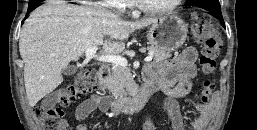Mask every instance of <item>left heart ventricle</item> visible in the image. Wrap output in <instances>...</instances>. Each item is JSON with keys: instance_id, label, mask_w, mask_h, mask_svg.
<instances>
[{"instance_id": "b2bd125f", "label": "left heart ventricle", "mask_w": 257, "mask_h": 130, "mask_svg": "<svg viewBox=\"0 0 257 130\" xmlns=\"http://www.w3.org/2000/svg\"><path fill=\"white\" fill-rule=\"evenodd\" d=\"M147 6L152 8H162L170 5L174 0H142Z\"/></svg>"}]
</instances>
